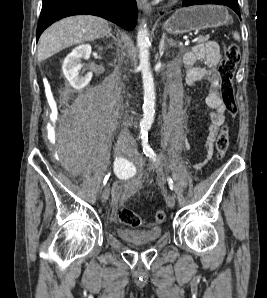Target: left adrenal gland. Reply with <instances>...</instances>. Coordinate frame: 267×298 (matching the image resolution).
<instances>
[{
	"mask_svg": "<svg viewBox=\"0 0 267 298\" xmlns=\"http://www.w3.org/2000/svg\"><path fill=\"white\" fill-rule=\"evenodd\" d=\"M165 42L168 43L169 47H175V46H177V43L174 42L172 39H167L166 34L164 33L162 35V39H161L160 45H159L160 55H163V53H164V50H165V47H166Z\"/></svg>",
	"mask_w": 267,
	"mask_h": 298,
	"instance_id": "obj_1",
	"label": "left adrenal gland"
}]
</instances>
